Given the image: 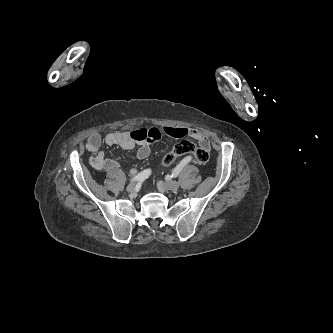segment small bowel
Instances as JSON below:
<instances>
[{
	"label": "small bowel",
	"instance_id": "1",
	"mask_svg": "<svg viewBox=\"0 0 333 333\" xmlns=\"http://www.w3.org/2000/svg\"><path fill=\"white\" fill-rule=\"evenodd\" d=\"M162 133L173 138L192 137L201 148L210 149L209 138L199 130L171 126L162 129L142 128L133 132H111L105 136L104 142L109 146H119L123 150H132L137 146L136 156L139 160H144L150 155V143L158 140ZM102 141L103 139L99 133H93L87 139L86 149L91 152V165L98 171L114 173L118 168V163L115 159L106 157L103 151L100 150ZM191 160V157H186L183 163L188 164Z\"/></svg>",
	"mask_w": 333,
	"mask_h": 333
}]
</instances>
